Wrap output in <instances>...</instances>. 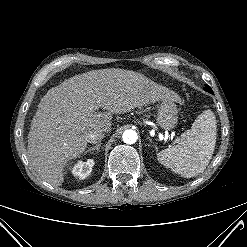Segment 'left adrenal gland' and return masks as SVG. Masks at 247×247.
<instances>
[{"instance_id":"a2214340","label":"left adrenal gland","mask_w":247,"mask_h":247,"mask_svg":"<svg viewBox=\"0 0 247 247\" xmlns=\"http://www.w3.org/2000/svg\"><path fill=\"white\" fill-rule=\"evenodd\" d=\"M150 142L151 143H153V145H154V148L157 150L158 148H157V146L154 144V142H152V140L150 139Z\"/></svg>"}]
</instances>
